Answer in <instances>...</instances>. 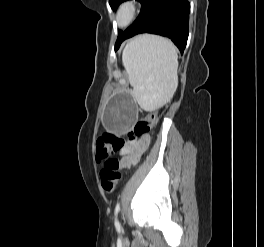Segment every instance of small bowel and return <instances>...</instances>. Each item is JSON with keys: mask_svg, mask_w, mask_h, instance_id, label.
<instances>
[{"mask_svg": "<svg viewBox=\"0 0 264 247\" xmlns=\"http://www.w3.org/2000/svg\"><path fill=\"white\" fill-rule=\"evenodd\" d=\"M148 144V137H143L139 141L128 144L126 146L127 155L122 160L124 168L128 169L137 163L148 147Z\"/></svg>", "mask_w": 264, "mask_h": 247, "instance_id": "c3829d8e", "label": "small bowel"}]
</instances>
